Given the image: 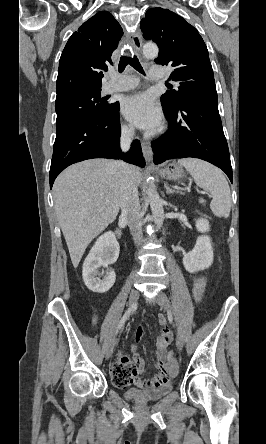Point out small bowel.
<instances>
[{"label":"small bowel","mask_w":266,"mask_h":444,"mask_svg":"<svg viewBox=\"0 0 266 444\" xmlns=\"http://www.w3.org/2000/svg\"><path fill=\"white\" fill-rule=\"evenodd\" d=\"M205 288V279L203 277H194L192 284V291L195 300H199L203 294ZM159 323L162 326V332L157 338L156 349V370L157 373L153 378L143 379L141 375L145 371L144 360L137 354H134L132 359L127 356H120L111 365L110 371L113 383L116 387L124 389L131 385H135L144 389H151L160 385L166 384L167 372L175 373L170 370L167 363V347L172 341V333L167 327V320L165 316L159 315ZM94 324L97 323V317L93 320ZM143 332L141 329H137L135 333V344L132 349H137V344L141 339Z\"/></svg>","instance_id":"obj_1"}]
</instances>
